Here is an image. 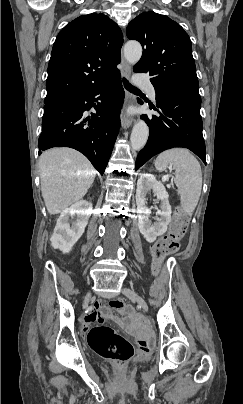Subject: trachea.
Returning a JSON list of instances; mask_svg holds the SVG:
<instances>
[{
    "instance_id": "obj_1",
    "label": "trachea",
    "mask_w": 243,
    "mask_h": 404,
    "mask_svg": "<svg viewBox=\"0 0 243 404\" xmlns=\"http://www.w3.org/2000/svg\"><path fill=\"white\" fill-rule=\"evenodd\" d=\"M123 82H124V86L127 90L138 91V89L136 87H134L133 85H131L125 78L123 79Z\"/></svg>"
}]
</instances>
